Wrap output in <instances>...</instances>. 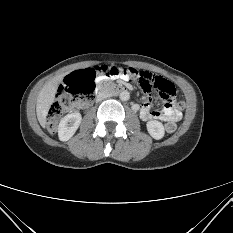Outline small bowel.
Returning <instances> with one entry per match:
<instances>
[{
    "instance_id": "small-bowel-1",
    "label": "small bowel",
    "mask_w": 233,
    "mask_h": 233,
    "mask_svg": "<svg viewBox=\"0 0 233 233\" xmlns=\"http://www.w3.org/2000/svg\"><path fill=\"white\" fill-rule=\"evenodd\" d=\"M147 74L152 75L150 73ZM140 117L143 121L161 120L175 124L181 120L182 114L171 102H166L160 109H152L149 100L144 98L140 107Z\"/></svg>"
}]
</instances>
